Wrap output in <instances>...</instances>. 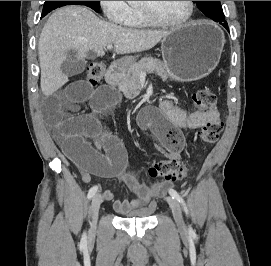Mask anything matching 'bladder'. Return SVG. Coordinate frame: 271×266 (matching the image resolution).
Here are the masks:
<instances>
[{
  "instance_id": "obj_1",
  "label": "bladder",
  "mask_w": 271,
  "mask_h": 266,
  "mask_svg": "<svg viewBox=\"0 0 271 266\" xmlns=\"http://www.w3.org/2000/svg\"><path fill=\"white\" fill-rule=\"evenodd\" d=\"M153 209H147V210H139L135 211L126 215H121L120 217L122 218H128V219H133V218H149L151 216V212Z\"/></svg>"
}]
</instances>
